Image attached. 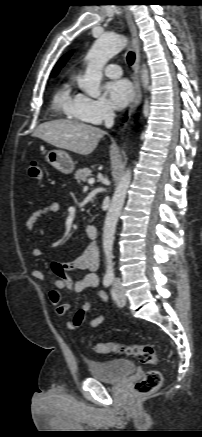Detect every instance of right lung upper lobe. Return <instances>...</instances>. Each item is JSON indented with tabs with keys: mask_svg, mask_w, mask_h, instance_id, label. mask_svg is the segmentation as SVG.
Instances as JSON below:
<instances>
[{
	"mask_svg": "<svg viewBox=\"0 0 202 437\" xmlns=\"http://www.w3.org/2000/svg\"><path fill=\"white\" fill-rule=\"evenodd\" d=\"M72 51L68 52L67 54H65L56 64L55 68L53 69L52 73H51V77H54L58 74V72L60 71V69L64 66V64L66 63V61L69 59V57L71 56Z\"/></svg>",
	"mask_w": 202,
	"mask_h": 437,
	"instance_id": "right-lung-upper-lobe-1",
	"label": "right lung upper lobe"
}]
</instances>
